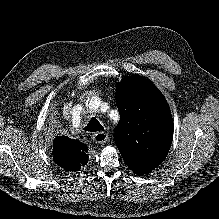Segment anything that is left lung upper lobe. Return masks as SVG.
Listing matches in <instances>:
<instances>
[{"mask_svg":"<svg viewBox=\"0 0 219 219\" xmlns=\"http://www.w3.org/2000/svg\"><path fill=\"white\" fill-rule=\"evenodd\" d=\"M120 123L115 143L126 165L136 174L149 173L166 158L173 139L169 105L148 79L130 76L116 89Z\"/></svg>","mask_w":219,"mask_h":219,"instance_id":"1","label":"left lung upper lobe"}]
</instances>
